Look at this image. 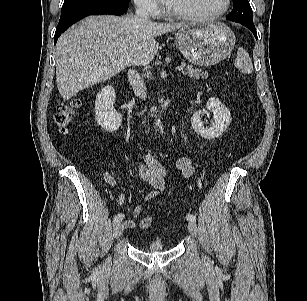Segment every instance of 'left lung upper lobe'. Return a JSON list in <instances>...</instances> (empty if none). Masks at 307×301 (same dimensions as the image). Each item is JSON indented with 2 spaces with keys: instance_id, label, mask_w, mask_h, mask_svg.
<instances>
[{
  "instance_id": "1",
  "label": "left lung upper lobe",
  "mask_w": 307,
  "mask_h": 301,
  "mask_svg": "<svg viewBox=\"0 0 307 301\" xmlns=\"http://www.w3.org/2000/svg\"><path fill=\"white\" fill-rule=\"evenodd\" d=\"M252 9L248 0H233V10L227 19L240 23L253 24Z\"/></svg>"
}]
</instances>
